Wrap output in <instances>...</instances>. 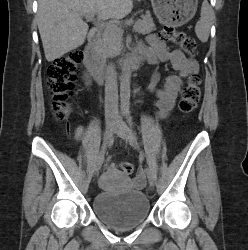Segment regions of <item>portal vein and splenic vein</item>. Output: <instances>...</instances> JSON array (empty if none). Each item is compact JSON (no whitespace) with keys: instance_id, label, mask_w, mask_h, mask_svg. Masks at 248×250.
<instances>
[{"instance_id":"1","label":"portal vein and splenic vein","mask_w":248,"mask_h":250,"mask_svg":"<svg viewBox=\"0 0 248 250\" xmlns=\"http://www.w3.org/2000/svg\"><path fill=\"white\" fill-rule=\"evenodd\" d=\"M95 14L94 13H91V14H85V17L86 19L90 20V21H95V18H94ZM106 19L102 18V17H98L97 20L95 21L96 24L99 26V27H103L105 29H112V28H118L116 25H111V24H108L107 22H105ZM136 27V23H135V26H134V29Z\"/></svg>"}]
</instances>
